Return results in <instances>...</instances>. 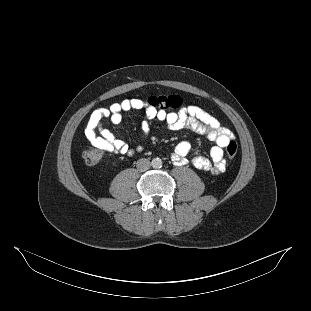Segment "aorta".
Here are the masks:
<instances>
[{
  "mask_svg": "<svg viewBox=\"0 0 311 311\" xmlns=\"http://www.w3.org/2000/svg\"><path fill=\"white\" fill-rule=\"evenodd\" d=\"M151 163L153 168H160L162 166V160L160 158H153Z\"/></svg>",
  "mask_w": 311,
  "mask_h": 311,
  "instance_id": "aorta-1",
  "label": "aorta"
}]
</instances>
